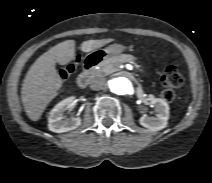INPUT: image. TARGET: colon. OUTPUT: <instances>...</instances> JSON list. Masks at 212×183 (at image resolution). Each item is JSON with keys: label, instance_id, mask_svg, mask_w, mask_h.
<instances>
[{"label": "colon", "instance_id": "colon-1", "mask_svg": "<svg viewBox=\"0 0 212 183\" xmlns=\"http://www.w3.org/2000/svg\"><path fill=\"white\" fill-rule=\"evenodd\" d=\"M75 70L74 64H69L60 71L61 77L66 79L69 77ZM161 85L163 86L162 97L165 101L170 102L175 98V88L182 86L184 79L179 71L174 67H168L163 72L161 79Z\"/></svg>", "mask_w": 212, "mask_h": 183}]
</instances>
